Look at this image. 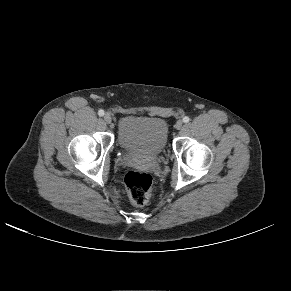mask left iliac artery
<instances>
[{
    "label": "left iliac artery",
    "instance_id": "1",
    "mask_svg": "<svg viewBox=\"0 0 291 291\" xmlns=\"http://www.w3.org/2000/svg\"><path fill=\"white\" fill-rule=\"evenodd\" d=\"M190 121V118L188 117V116H185L184 118H183V122L184 123H188Z\"/></svg>",
    "mask_w": 291,
    "mask_h": 291
}]
</instances>
